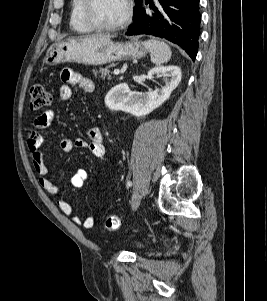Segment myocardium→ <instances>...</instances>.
<instances>
[{
  "mask_svg": "<svg viewBox=\"0 0 267 301\" xmlns=\"http://www.w3.org/2000/svg\"><path fill=\"white\" fill-rule=\"evenodd\" d=\"M125 2V11L122 16V18L110 25H104L99 23L95 17L93 16V6L95 3V0H85L84 6H83V15L87 23L94 29L98 31H116L123 27H125L131 20L132 13H133V1L132 0H124Z\"/></svg>",
  "mask_w": 267,
  "mask_h": 301,
  "instance_id": "f54148a6",
  "label": "myocardium"
}]
</instances>
